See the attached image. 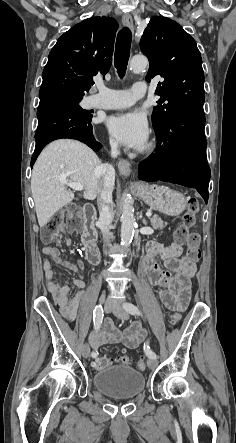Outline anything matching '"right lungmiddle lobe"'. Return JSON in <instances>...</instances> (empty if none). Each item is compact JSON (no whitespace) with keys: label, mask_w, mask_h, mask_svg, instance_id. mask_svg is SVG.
I'll use <instances>...</instances> for the list:
<instances>
[{"label":"right lung middle lobe","mask_w":236,"mask_h":443,"mask_svg":"<svg viewBox=\"0 0 236 443\" xmlns=\"http://www.w3.org/2000/svg\"><path fill=\"white\" fill-rule=\"evenodd\" d=\"M68 102H70L71 104H73L75 106V108L83 115H90V112L87 110L82 109L79 106V102L82 100L83 96H79V95H70V94H58L56 95Z\"/></svg>","instance_id":"obj_1"}]
</instances>
